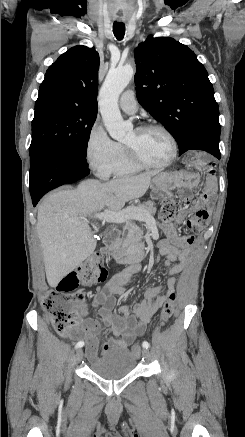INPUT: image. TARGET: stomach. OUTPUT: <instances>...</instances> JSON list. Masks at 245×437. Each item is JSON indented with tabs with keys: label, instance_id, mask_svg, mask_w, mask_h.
Returning a JSON list of instances; mask_svg holds the SVG:
<instances>
[{
	"label": "stomach",
	"instance_id": "obj_1",
	"mask_svg": "<svg viewBox=\"0 0 245 437\" xmlns=\"http://www.w3.org/2000/svg\"><path fill=\"white\" fill-rule=\"evenodd\" d=\"M190 175L185 171L158 172L151 181V198L160 200L173 189H179L190 184Z\"/></svg>",
	"mask_w": 245,
	"mask_h": 437
}]
</instances>
